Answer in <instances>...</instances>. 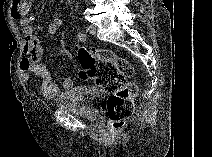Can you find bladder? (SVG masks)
<instances>
[{
	"mask_svg": "<svg viewBox=\"0 0 212 157\" xmlns=\"http://www.w3.org/2000/svg\"><path fill=\"white\" fill-rule=\"evenodd\" d=\"M105 93L95 86H77L70 89L56 101L61 109L74 111L88 120L99 119L98 104L104 99Z\"/></svg>",
	"mask_w": 212,
	"mask_h": 157,
	"instance_id": "bladder-1",
	"label": "bladder"
}]
</instances>
